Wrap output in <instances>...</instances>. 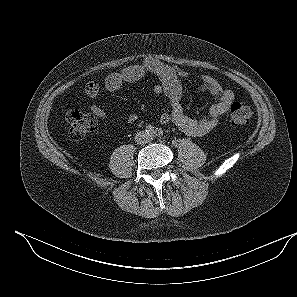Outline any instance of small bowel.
<instances>
[{"mask_svg":"<svg viewBox=\"0 0 297 297\" xmlns=\"http://www.w3.org/2000/svg\"><path fill=\"white\" fill-rule=\"evenodd\" d=\"M146 75H153L158 78L159 84L153 87L156 94H164L168 100V107L160 115V122L163 124L173 123L183 133L191 137H202L211 132L220 122V118L235 101V94L232 90L224 87L220 82L209 76L200 79L199 88L212 95L216 102L211 106L208 114L200 119H193L187 116L182 107V84L181 79L188 76L184 70L173 66L165 65L154 58H146L143 63L131 65L120 72L109 74L104 83V88L109 92H116L129 83H135ZM101 90V83L91 81L85 88L86 94L96 99ZM91 113L100 121H108L107 112L98 104L90 106ZM137 113L132 112L126 117L129 124L138 121Z\"/></svg>","mask_w":297,"mask_h":297,"instance_id":"small-bowel-1","label":"small bowel"}]
</instances>
